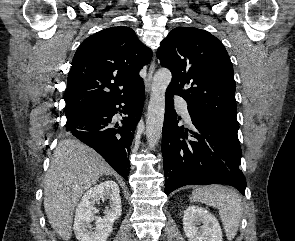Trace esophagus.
<instances>
[{"mask_svg":"<svg viewBox=\"0 0 295 241\" xmlns=\"http://www.w3.org/2000/svg\"><path fill=\"white\" fill-rule=\"evenodd\" d=\"M155 68H156L155 61H152L150 68H149V73H148V78H147V83H146V91L147 92H150V90H151V83H152V78H153Z\"/></svg>","mask_w":295,"mask_h":241,"instance_id":"obj_1","label":"esophagus"}]
</instances>
